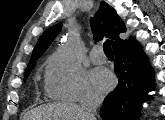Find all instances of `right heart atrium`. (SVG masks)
<instances>
[{
  "label": "right heart atrium",
  "instance_id": "1",
  "mask_svg": "<svg viewBox=\"0 0 165 120\" xmlns=\"http://www.w3.org/2000/svg\"><path fill=\"white\" fill-rule=\"evenodd\" d=\"M46 91L54 98L73 102L100 98V93L90 83L86 73L80 69H70L59 55H53L49 60Z\"/></svg>",
  "mask_w": 165,
  "mask_h": 120
}]
</instances>
